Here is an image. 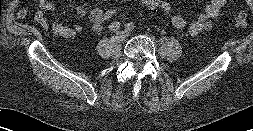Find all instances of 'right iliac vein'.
Masks as SVG:
<instances>
[{
	"mask_svg": "<svg viewBox=\"0 0 253 131\" xmlns=\"http://www.w3.org/2000/svg\"><path fill=\"white\" fill-rule=\"evenodd\" d=\"M126 38V34L123 31L117 32L116 40L123 41Z\"/></svg>",
	"mask_w": 253,
	"mask_h": 131,
	"instance_id": "1",
	"label": "right iliac vein"
}]
</instances>
